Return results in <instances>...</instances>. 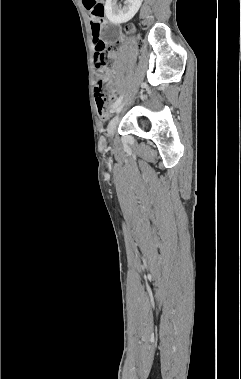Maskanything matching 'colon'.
<instances>
[{
    "label": "colon",
    "instance_id": "obj_1",
    "mask_svg": "<svg viewBox=\"0 0 241 379\" xmlns=\"http://www.w3.org/2000/svg\"><path fill=\"white\" fill-rule=\"evenodd\" d=\"M83 4L87 9L92 25L93 43L95 46L94 63L96 69L95 78V96L96 106L102 120L110 119L113 103V94L107 85L106 78L108 76V61L111 58L110 49H107L104 42L99 38L102 29L104 6L97 0H83ZM131 27L127 28L130 31Z\"/></svg>",
    "mask_w": 241,
    "mask_h": 379
}]
</instances>
